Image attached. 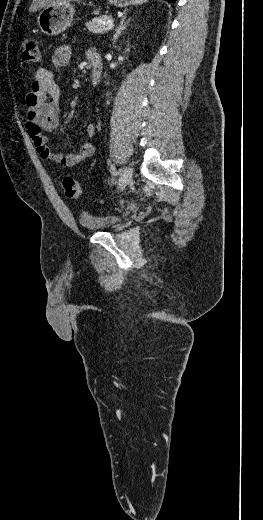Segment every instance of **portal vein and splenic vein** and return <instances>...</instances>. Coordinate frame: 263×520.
I'll list each match as a JSON object with an SVG mask.
<instances>
[{
  "label": "portal vein and splenic vein",
  "mask_w": 263,
  "mask_h": 520,
  "mask_svg": "<svg viewBox=\"0 0 263 520\" xmlns=\"http://www.w3.org/2000/svg\"><path fill=\"white\" fill-rule=\"evenodd\" d=\"M113 27H114V23L113 22H108L107 25H106L105 30H111Z\"/></svg>",
  "instance_id": "18ae733b"
}]
</instances>
